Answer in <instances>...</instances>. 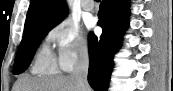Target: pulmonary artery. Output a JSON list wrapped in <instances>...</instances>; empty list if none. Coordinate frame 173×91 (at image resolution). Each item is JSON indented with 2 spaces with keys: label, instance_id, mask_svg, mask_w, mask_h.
Here are the masks:
<instances>
[{
  "label": "pulmonary artery",
  "instance_id": "1",
  "mask_svg": "<svg viewBox=\"0 0 173 91\" xmlns=\"http://www.w3.org/2000/svg\"><path fill=\"white\" fill-rule=\"evenodd\" d=\"M82 8L86 11H92L94 9V2L92 0H85L81 2Z\"/></svg>",
  "mask_w": 173,
  "mask_h": 91
}]
</instances>
